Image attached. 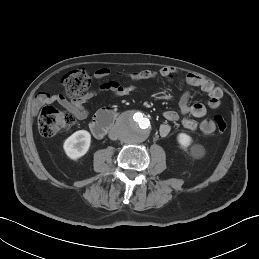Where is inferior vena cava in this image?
I'll return each instance as SVG.
<instances>
[{
	"label": "inferior vena cava",
	"instance_id": "inferior-vena-cava-1",
	"mask_svg": "<svg viewBox=\"0 0 259 259\" xmlns=\"http://www.w3.org/2000/svg\"><path fill=\"white\" fill-rule=\"evenodd\" d=\"M109 138L112 139V140H116L118 138V135L115 131H110L109 133Z\"/></svg>",
	"mask_w": 259,
	"mask_h": 259
}]
</instances>
